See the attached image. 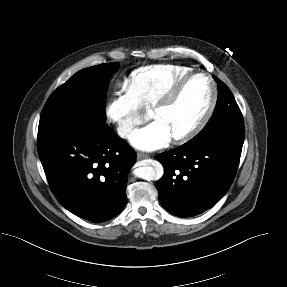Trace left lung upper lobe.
I'll return each mask as SVG.
<instances>
[{"label": "left lung upper lobe", "mask_w": 287, "mask_h": 287, "mask_svg": "<svg viewBox=\"0 0 287 287\" xmlns=\"http://www.w3.org/2000/svg\"><path fill=\"white\" fill-rule=\"evenodd\" d=\"M215 80L218 82L219 95L214 113L202 131L190 142L242 149L245 135L243 116L229 88L219 79Z\"/></svg>", "instance_id": "obj_1"}]
</instances>
